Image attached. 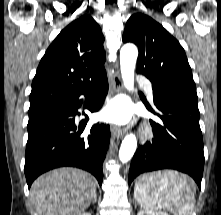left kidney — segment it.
Wrapping results in <instances>:
<instances>
[{"instance_id":"5707ae66","label":"left kidney","mask_w":221,"mask_h":215,"mask_svg":"<svg viewBox=\"0 0 221 215\" xmlns=\"http://www.w3.org/2000/svg\"><path fill=\"white\" fill-rule=\"evenodd\" d=\"M137 215H168L167 213L163 212H153L149 210H140Z\"/></svg>"}]
</instances>
